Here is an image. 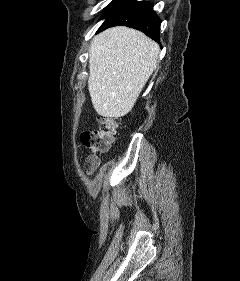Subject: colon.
<instances>
[{"label": "colon", "instance_id": "5ec220e1", "mask_svg": "<svg viewBox=\"0 0 240 281\" xmlns=\"http://www.w3.org/2000/svg\"><path fill=\"white\" fill-rule=\"evenodd\" d=\"M118 130V121L114 118H100L99 128L82 133L81 143L90 150L85 162V170L92 172L99 165V156L112 146Z\"/></svg>", "mask_w": 240, "mask_h": 281}]
</instances>
